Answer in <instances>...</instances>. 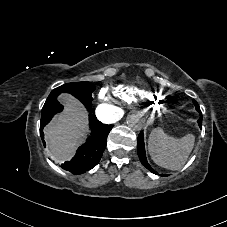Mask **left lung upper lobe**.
<instances>
[{
    "label": "left lung upper lobe",
    "mask_w": 227,
    "mask_h": 227,
    "mask_svg": "<svg viewBox=\"0 0 227 227\" xmlns=\"http://www.w3.org/2000/svg\"><path fill=\"white\" fill-rule=\"evenodd\" d=\"M193 103H194L195 106H196V110H197V111L199 112V114H200L199 120H202V113H201V111H200V108H199L198 103H197L195 100H193Z\"/></svg>",
    "instance_id": "left-lung-upper-lobe-1"
}]
</instances>
